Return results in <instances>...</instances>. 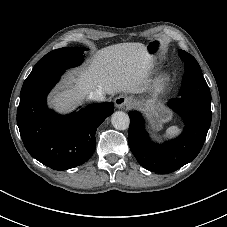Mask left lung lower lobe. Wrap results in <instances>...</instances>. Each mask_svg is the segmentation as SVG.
<instances>
[{"label":"left lung lower lobe","instance_id":"1","mask_svg":"<svg viewBox=\"0 0 227 227\" xmlns=\"http://www.w3.org/2000/svg\"><path fill=\"white\" fill-rule=\"evenodd\" d=\"M210 103L196 98L169 101L167 105L182 115L185 128L177 139L162 145L150 140L141 114L129 112L128 143L139 164L156 173H171L191 162L199 154L211 124Z\"/></svg>","mask_w":227,"mask_h":227}]
</instances>
